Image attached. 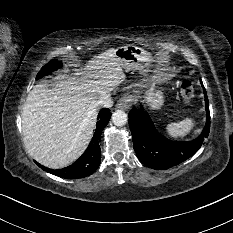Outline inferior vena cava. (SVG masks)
Returning <instances> with one entry per match:
<instances>
[{"label": "inferior vena cava", "instance_id": "inferior-vena-cava-1", "mask_svg": "<svg viewBox=\"0 0 233 233\" xmlns=\"http://www.w3.org/2000/svg\"><path fill=\"white\" fill-rule=\"evenodd\" d=\"M95 105L102 108H110L113 105V101L110 95H104L96 101Z\"/></svg>", "mask_w": 233, "mask_h": 233}]
</instances>
